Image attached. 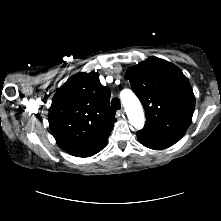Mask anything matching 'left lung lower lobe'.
<instances>
[{
    "instance_id": "0a47b994",
    "label": "left lung lower lobe",
    "mask_w": 221,
    "mask_h": 221,
    "mask_svg": "<svg viewBox=\"0 0 221 221\" xmlns=\"http://www.w3.org/2000/svg\"><path fill=\"white\" fill-rule=\"evenodd\" d=\"M137 138L142 145L150 149L163 150L178 142L182 136L160 133L143 128L137 132Z\"/></svg>"
}]
</instances>
